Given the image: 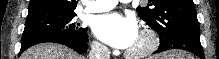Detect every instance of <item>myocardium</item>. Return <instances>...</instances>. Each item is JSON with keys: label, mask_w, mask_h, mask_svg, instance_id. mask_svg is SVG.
<instances>
[{"label": "myocardium", "mask_w": 219, "mask_h": 59, "mask_svg": "<svg viewBox=\"0 0 219 59\" xmlns=\"http://www.w3.org/2000/svg\"><path fill=\"white\" fill-rule=\"evenodd\" d=\"M139 35L144 38L145 45L137 50L127 49L125 55L129 58L140 59L151 55L159 45V38L156 32L150 28H143Z\"/></svg>", "instance_id": "f54148a6"}]
</instances>
